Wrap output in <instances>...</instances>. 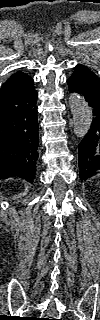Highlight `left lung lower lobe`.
Listing matches in <instances>:
<instances>
[{
	"instance_id": "1",
	"label": "left lung lower lobe",
	"mask_w": 100,
	"mask_h": 320,
	"mask_svg": "<svg viewBox=\"0 0 100 320\" xmlns=\"http://www.w3.org/2000/svg\"><path fill=\"white\" fill-rule=\"evenodd\" d=\"M67 84L71 93L84 97L93 115L90 129L78 145L79 175L86 180L100 172V82L75 68Z\"/></svg>"
}]
</instances>
